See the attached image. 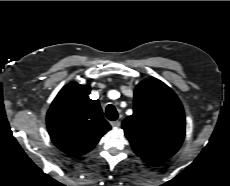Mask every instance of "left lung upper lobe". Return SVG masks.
<instances>
[{"instance_id": "1", "label": "left lung upper lobe", "mask_w": 230, "mask_h": 186, "mask_svg": "<svg viewBox=\"0 0 230 186\" xmlns=\"http://www.w3.org/2000/svg\"><path fill=\"white\" fill-rule=\"evenodd\" d=\"M134 152L146 163L174 155L185 136V115L176 94L156 78L139 83L134 113L122 123Z\"/></svg>"}]
</instances>
